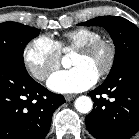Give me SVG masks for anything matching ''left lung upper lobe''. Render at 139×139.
<instances>
[{"label": "left lung upper lobe", "mask_w": 139, "mask_h": 139, "mask_svg": "<svg viewBox=\"0 0 139 139\" xmlns=\"http://www.w3.org/2000/svg\"><path fill=\"white\" fill-rule=\"evenodd\" d=\"M81 26H100L111 35L116 47L110 78L133 58L139 57V28L122 17L102 16L80 23Z\"/></svg>", "instance_id": "obj_1"}]
</instances>
